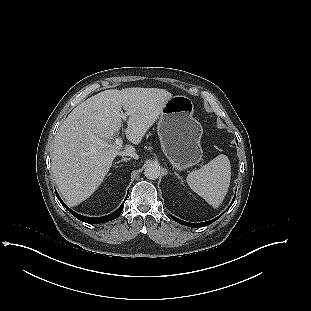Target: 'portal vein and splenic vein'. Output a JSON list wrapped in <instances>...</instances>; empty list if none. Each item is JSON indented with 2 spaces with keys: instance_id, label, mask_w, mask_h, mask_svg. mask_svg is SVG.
Segmentation results:
<instances>
[{
  "instance_id": "1",
  "label": "portal vein and splenic vein",
  "mask_w": 311,
  "mask_h": 311,
  "mask_svg": "<svg viewBox=\"0 0 311 311\" xmlns=\"http://www.w3.org/2000/svg\"><path fill=\"white\" fill-rule=\"evenodd\" d=\"M128 114L126 113V114H123L122 115V119L123 120H126V116H127ZM122 144H123V140H122V137H117L116 139H115V148H117V149H120L121 147H122Z\"/></svg>"
}]
</instances>
